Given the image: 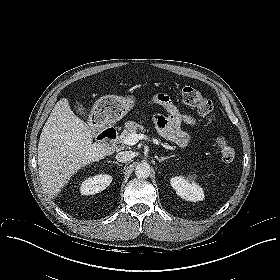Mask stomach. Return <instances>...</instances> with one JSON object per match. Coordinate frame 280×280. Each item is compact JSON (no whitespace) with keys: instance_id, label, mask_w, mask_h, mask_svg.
I'll return each mask as SVG.
<instances>
[{"instance_id":"1","label":"stomach","mask_w":280,"mask_h":280,"mask_svg":"<svg viewBox=\"0 0 280 280\" xmlns=\"http://www.w3.org/2000/svg\"><path fill=\"white\" fill-rule=\"evenodd\" d=\"M136 98L133 95L101 97L97 102L100 116L106 123H115L122 119L134 106Z\"/></svg>"}]
</instances>
